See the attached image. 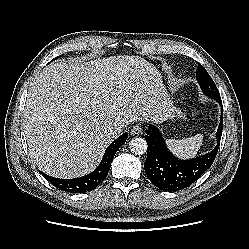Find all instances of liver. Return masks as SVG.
Returning <instances> with one entry per match:
<instances>
[{
	"instance_id": "1",
	"label": "liver",
	"mask_w": 249,
	"mask_h": 249,
	"mask_svg": "<svg viewBox=\"0 0 249 249\" xmlns=\"http://www.w3.org/2000/svg\"><path fill=\"white\" fill-rule=\"evenodd\" d=\"M171 103L159 70L139 56L47 66L31 85L23 127L36 166L56 178L92 172L136 120L163 122Z\"/></svg>"
}]
</instances>
